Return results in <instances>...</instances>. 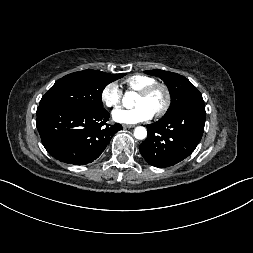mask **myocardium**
Here are the masks:
<instances>
[{"label": "myocardium", "mask_w": 253, "mask_h": 253, "mask_svg": "<svg viewBox=\"0 0 253 253\" xmlns=\"http://www.w3.org/2000/svg\"><path fill=\"white\" fill-rule=\"evenodd\" d=\"M158 90L162 91V93L164 94V102L161 105V107L158 108L154 112V116L155 117H162L163 115H165V113L170 108L171 101H172L170 89L168 88V86L166 84L160 83V82H155V83L149 85L148 87L138 91V94L143 97H150Z\"/></svg>", "instance_id": "1"}]
</instances>
